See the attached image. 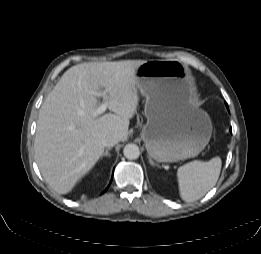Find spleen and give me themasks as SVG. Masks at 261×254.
<instances>
[{
	"mask_svg": "<svg viewBox=\"0 0 261 254\" xmlns=\"http://www.w3.org/2000/svg\"><path fill=\"white\" fill-rule=\"evenodd\" d=\"M221 166V159L214 157L207 162L195 160L179 167L177 178L181 198L186 202L202 198L215 186Z\"/></svg>",
	"mask_w": 261,
	"mask_h": 254,
	"instance_id": "3e777b00",
	"label": "spleen"
}]
</instances>
